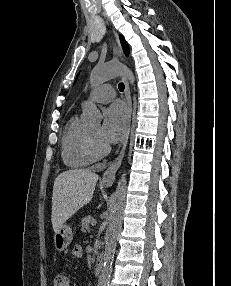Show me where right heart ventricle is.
Returning a JSON list of instances; mask_svg holds the SVG:
<instances>
[{"instance_id":"e07e8e85","label":"right heart ventricle","mask_w":231,"mask_h":286,"mask_svg":"<svg viewBox=\"0 0 231 286\" xmlns=\"http://www.w3.org/2000/svg\"><path fill=\"white\" fill-rule=\"evenodd\" d=\"M85 130L78 116H73L64 128L61 138V157L69 168L87 167L94 160L85 149Z\"/></svg>"}]
</instances>
